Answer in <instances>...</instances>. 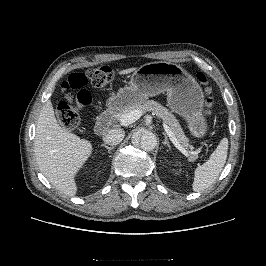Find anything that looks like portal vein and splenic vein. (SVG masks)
<instances>
[{
    "mask_svg": "<svg viewBox=\"0 0 266 266\" xmlns=\"http://www.w3.org/2000/svg\"><path fill=\"white\" fill-rule=\"evenodd\" d=\"M142 116L141 111L139 110H134L131 111L127 114H125L124 116H122V118L120 119V124L122 126H128L129 124L134 123L135 121H137L140 117ZM164 129L169 137V139L172 141V143L174 144V146L183 154L185 155L188 159L191 158L190 153L179 143V141L177 140V138L175 137L174 133L172 132V130L170 129L169 126H167L166 124L164 125Z\"/></svg>",
    "mask_w": 266,
    "mask_h": 266,
    "instance_id": "portal-vein-and-splenic-vein-1",
    "label": "portal vein and splenic vein"
}]
</instances>
